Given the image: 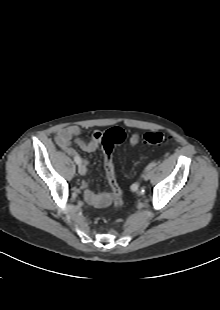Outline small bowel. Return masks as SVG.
Returning <instances> with one entry per match:
<instances>
[{
  "instance_id": "obj_1",
  "label": "small bowel",
  "mask_w": 220,
  "mask_h": 310,
  "mask_svg": "<svg viewBox=\"0 0 220 310\" xmlns=\"http://www.w3.org/2000/svg\"><path fill=\"white\" fill-rule=\"evenodd\" d=\"M81 129L76 125H70L62 128L56 135V143L58 146L65 151L69 156L80 157L77 151L72 147V142H75L82 151L86 153H92L96 151L101 143V132L94 131L88 140L81 139ZM139 142V135L134 133L129 138V144L131 146L137 145ZM81 159V157H80ZM84 166L87 164L86 160H82ZM84 190V198L86 202L95 207H104L108 204L110 198L108 193H95L89 188V183L84 181L82 183Z\"/></svg>"
}]
</instances>
